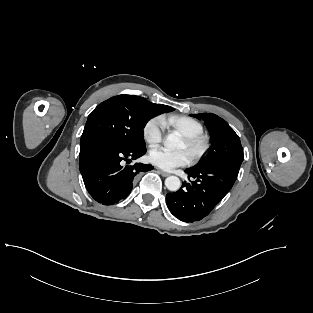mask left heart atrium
<instances>
[{"mask_svg": "<svg viewBox=\"0 0 313 313\" xmlns=\"http://www.w3.org/2000/svg\"><path fill=\"white\" fill-rule=\"evenodd\" d=\"M149 160L161 169L172 170L176 167L188 165L191 161V156L186 150L170 151L159 147L150 151Z\"/></svg>", "mask_w": 313, "mask_h": 313, "instance_id": "1", "label": "left heart atrium"}]
</instances>
